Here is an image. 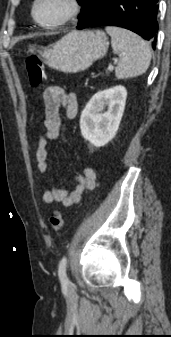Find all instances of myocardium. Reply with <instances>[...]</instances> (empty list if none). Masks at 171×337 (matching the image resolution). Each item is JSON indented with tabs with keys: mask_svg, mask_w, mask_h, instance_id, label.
<instances>
[{
	"mask_svg": "<svg viewBox=\"0 0 171 337\" xmlns=\"http://www.w3.org/2000/svg\"><path fill=\"white\" fill-rule=\"evenodd\" d=\"M40 1L41 0L33 1L32 7H31V15H32L34 22L40 27L45 28V29H58V28H61L67 25L70 21L76 18L81 13V10H82L81 0H65V2L67 3V7H68V10L65 16L61 20L55 23H46V22L40 21L36 16V9Z\"/></svg>",
	"mask_w": 171,
	"mask_h": 337,
	"instance_id": "myocardium-1",
	"label": "myocardium"
}]
</instances>
